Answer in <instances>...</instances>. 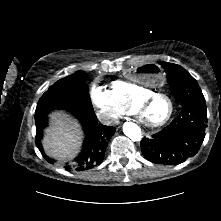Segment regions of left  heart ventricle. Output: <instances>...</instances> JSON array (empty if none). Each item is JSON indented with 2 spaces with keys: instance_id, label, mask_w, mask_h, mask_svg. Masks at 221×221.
Segmentation results:
<instances>
[{
  "instance_id": "left-heart-ventricle-1",
  "label": "left heart ventricle",
  "mask_w": 221,
  "mask_h": 221,
  "mask_svg": "<svg viewBox=\"0 0 221 221\" xmlns=\"http://www.w3.org/2000/svg\"><path fill=\"white\" fill-rule=\"evenodd\" d=\"M169 110V102L164 98H157L146 108L145 116L151 122H158L168 115Z\"/></svg>"
}]
</instances>
